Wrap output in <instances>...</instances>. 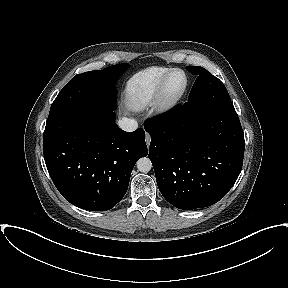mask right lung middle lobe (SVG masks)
Listing matches in <instances>:
<instances>
[{
    "label": "right lung middle lobe",
    "instance_id": "right-lung-middle-lobe-1",
    "mask_svg": "<svg viewBox=\"0 0 288 288\" xmlns=\"http://www.w3.org/2000/svg\"><path fill=\"white\" fill-rule=\"evenodd\" d=\"M127 67V63H122L103 70L76 75L52 103L47 122L83 107L113 110L116 107L117 91L107 87L111 84L114 76L122 73Z\"/></svg>",
    "mask_w": 288,
    "mask_h": 288
}]
</instances>
